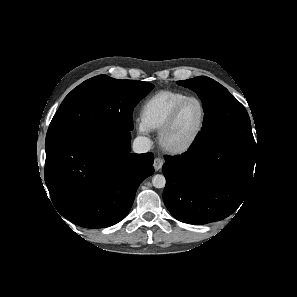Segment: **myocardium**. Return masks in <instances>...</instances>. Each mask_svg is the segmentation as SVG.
<instances>
[{"mask_svg": "<svg viewBox=\"0 0 297 297\" xmlns=\"http://www.w3.org/2000/svg\"><path fill=\"white\" fill-rule=\"evenodd\" d=\"M197 102L201 108L202 111V116H201V120L199 123V126L197 128V130L195 131V133L193 134V136L183 145L181 146H177V147H171L169 145H167L166 143V137L168 135V133L170 132V130L172 129V127L174 126L181 110L190 102ZM206 120H207V110L205 105L203 104V102L196 97H188L185 100H183L182 102H180L174 109L173 111L170 113L169 117L167 118V120L164 122V124L161 126V128L158 131V144L160 146V148L167 154L170 155H181L184 154L186 152H188L189 150H191L194 145L197 143L198 139L200 138L204 128H205V124H206Z\"/></svg>", "mask_w": 297, "mask_h": 297, "instance_id": "1", "label": "myocardium"}]
</instances>
